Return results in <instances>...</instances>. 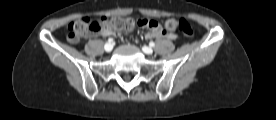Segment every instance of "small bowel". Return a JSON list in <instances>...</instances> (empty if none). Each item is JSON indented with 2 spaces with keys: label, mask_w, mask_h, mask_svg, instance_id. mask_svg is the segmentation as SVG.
<instances>
[{
  "label": "small bowel",
  "mask_w": 276,
  "mask_h": 120,
  "mask_svg": "<svg viewBox=\"0 0 276 120\" xmlns=\"http://www.w3.org/2000/svg\"><path fill=\"white\" fill-rule=\"evenodd\" d=\"M152 25L150 27H147V32L145 33V38L146 39H153V38H167L170 40L176 39V34L174 33H168L162 29L160 24L155 21V20H150ZM104 36H110L113 35L114 33L111 32H103L101 33Z\"/></svg>",
  "instance_id": "obj_1"
}]
</instances>
